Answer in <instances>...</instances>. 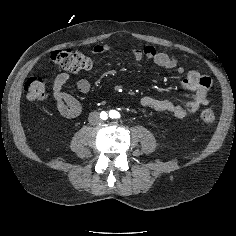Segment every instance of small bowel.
Returning <instances> with one entry per match:
<instances>
[{"mask_svg":"<svg viewBox=\"0 0 236 236\" xmlns=\"http://www.w3.org/2000/svg\"><path fill=\"white\" fill-rule=\"evenodd\" d=\"M111 50L112 46L109 44H98L94 46L92 53L94 55H100ZM125 52L136 61L148 58L159 67L175 70L178 74L183 75L178 91H190L193 94L190 100L183 103L171 99H158L151 96H144L140 99L141 106L166 112L182 119L193 115L201 107L209 104L208 90L211 86V80L207 76L195 70L185 71L183 67L178 65L173 57L158 51L151 45H146L143 48H126ZM69 79V73H59L54 80L52 88L57 111L64 118H74L81 112L80 102L74 96L63 91V87ZM76 86L81 93H88L91 88V84L86 78L79 79Z\"/></svg>","mask_w":236,"mask_h":236,"instance_id":"obj_1","label":"small bowel"}]
</instances>
